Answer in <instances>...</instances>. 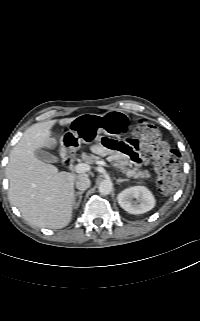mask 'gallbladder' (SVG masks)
Instances as JSON below:
<instances>
[{"label": "gallbladder", "instance_id": "gallbladder-1", "mask_svg": "<svg viewBox=\"0 0 200 321\" xmlns=\"http://www.w3.org/2000/svg\"><path fill=\"white\" fill-rule=\"evenodd\" d=\"M35 156L43 162L55 163L58 160L57 157H55L54 155L50 154L49 152L43 149L36 150Z\"/></svg>", "mask_w": 200, "mask_h": 321}]
</instances>
